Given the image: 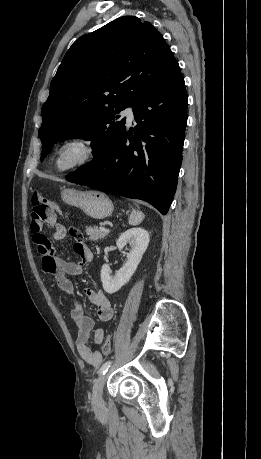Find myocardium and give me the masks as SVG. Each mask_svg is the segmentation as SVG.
<instances>
[{
  "label": "myocardium",
  "instance_id": "1",
  "mask_svg": "<svg viewBox=\"0 0 261 459\" xmlns=\"http://www.w3.org/2000/svg\"><path fill=\"white\" fill-rule=\"evenodd\" d=\"M68 149H75L76 159L68 165L58 164L59 157ZM97 155L95 141L87 135H72L59 141L53 148L50 156V166L53 172L67 174L88 166Z\"/></svg>",
  "mask_w": 261,
  "mask_h": 459
}]
</instances>
